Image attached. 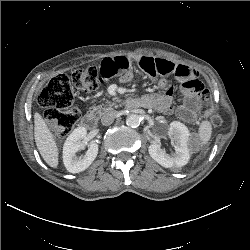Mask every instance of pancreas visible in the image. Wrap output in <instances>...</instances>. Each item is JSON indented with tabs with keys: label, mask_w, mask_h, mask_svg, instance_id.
<instances>
[{
	"label": "pancreas",
	"mask_w": 250,
	"mask_h": 250,
	"mask_svg": "<svg viewBox=\"0 0 250 250\" xmlns=\"http://www.w3.org/2000/svg\"><path fill=\"white\" fill-rule=\"evenodd\" d=\"M118 105L114 102H107L106 104H101L92 107V111L98 114L99 116H102L105 112L112 110L113 107H117Z\"/></svg>",
	"instance_id": "pancreas-1"
}]
</instances>
